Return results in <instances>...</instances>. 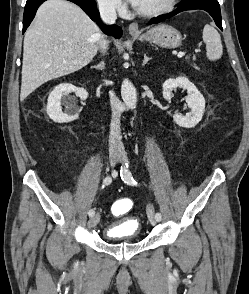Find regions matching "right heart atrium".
Returning <instances> with one entry per match:
<instances>
[{
	"label": "right heart atrium",
	"instance_id": "right-heart-atrium-1",
	"mask_svg": "<svg viewBox=\"0 0 249 294\" xmlns=\"http://www.w3.org/2000/svg\"><path fill=\"white\" fill-rule=\"evenodd\" d=\"M96 1L99 7L106 12H112V13L121 12L125 7L122 0H96Z\"/></svg>",
	"mask_w": 249,
	"mask_h": 294
}]
</instances>
